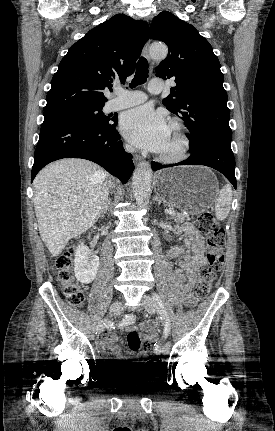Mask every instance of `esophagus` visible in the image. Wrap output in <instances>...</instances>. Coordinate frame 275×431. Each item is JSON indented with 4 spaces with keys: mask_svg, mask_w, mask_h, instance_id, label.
<instances>
[{
    "mask_svg": "<svg viewBox=\"0 0 275 431\" xmlns=\"http://www.w3.org/2000/svg\"><path fill=\"white\" fill-rule=\"evenodd\" d=\"M149 48H150V40H148L143 48V53L145 55V57L151 61V56H150V52H149ZM134 163L137 164L138 162H140L142 160V157L140 155H134L133 157Z\"/></svg>",
    "mask_w": 275,
    "mask_h": 431,
    "instance_id": "esophagus-1",
    "label": "esophagus"
}]
</instances>
